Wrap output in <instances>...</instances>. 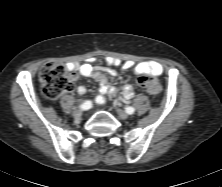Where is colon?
I'll return each instance as SVG.
<instances>
[{
  "mask_svg": "<svg viewBox=\"0 0 222 187\" xmlns=\"http://www.w3.org/2000/svg\"><path fill=\"white\" fill-rule=\"evenodd\" d=\"M75 73L68 71L62 64L52 62L46 64L40 72L43 93L48 99H56L73 88L72 79ZM137 83L141 89L150 94L159 91L158 83L151 77L139 76Z\"/></svg>",
  "mask_w": 222,
  "mask_h": 187,
  "instance_id": "1",
  "label": "colon"
}]
</instances>
